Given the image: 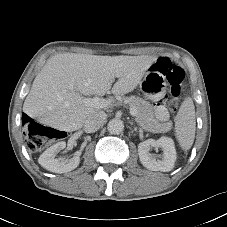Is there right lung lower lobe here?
Listing matches in <instances>:
<instances>
[{
    "label": "right lung lower lobe",
    "instance_id": "obj_1",
    "mask_svg": "<svg viewBox=\"0 0 227 227\" xmlns=\"http://www.w3.org/2000/svg\"><path fill=\"white\" fill-rule=\"evenodd\" d=\"M28 118L29 117L27 115L23 114V117H22L23 122H25Z\"/></svg>",
    "mask_w": 227,
    "mask_h": 227
}]
</instances>
